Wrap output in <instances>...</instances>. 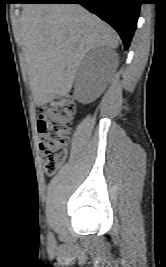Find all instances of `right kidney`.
Here are the masks:
<instances>
[{
  "label": "right kidney",
  "instance_id": "ca27d5eb",
  "mask_svg": "<svg viewBox=\"0 0 166 267\" xmlns=\"http://www.w3.org/2000/svg\"><path fill=\"white\" fill-rule=\"evenodd\" d=\"M77 78L76 98L87 104L93 102L103 91L104 75L108 72V58L103 48L93 49L86 57Z\"/></svg>",
  "mask_w": 166,
  "mask_h": 267
}]
</instances>
